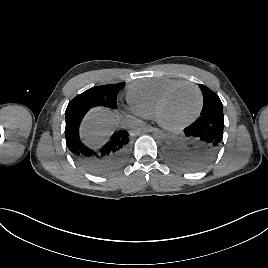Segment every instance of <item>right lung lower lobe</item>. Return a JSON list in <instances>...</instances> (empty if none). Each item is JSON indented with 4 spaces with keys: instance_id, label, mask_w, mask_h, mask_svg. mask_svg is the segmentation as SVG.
<instances>
[{
    "instance_id": "right-lung-lower-lobe-1",
    "label": "right lung lower lobe",
    "mask_w": 268,
    "mask_h": 268,
    "mask_svg": "<svg viewBox=\"0 0 268 268\" xmlns=\"http://www.w3.org/2000/svg\"><path fill=\"white\" fill-rule=\"evenodd\" d=\"M89 103H78L65 111L66 144L73 158L94 174H107L120 168L125 162L130 147V137L126 130L115 132L110 140L98 149L87 147L79 138V126L90 108Z\"/></svg>"
}]
</instances>
